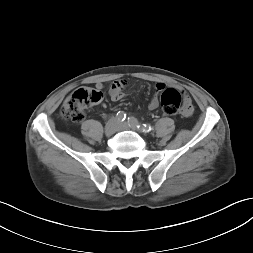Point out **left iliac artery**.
<instances>
[{
	"label": "left iliac artery",
	"instance_id": "44dca946",
	"mask_svg": "<svg viewBox=\"0 0 253 253\" xmlns=\"http://www.w3.org/2000/svg\"><path fill=\"white\" fill-rule=\"evenodd\" d=\"M128 124H129L130 127H136V128L142 130L145 133L152 130V127L149 124L145 123V124L141 125L138 122V120L135 117H132V116L128 117Z\"/></svg>",
	"mask_w": 253,
	"mask_h": 253
}]
</instances>
